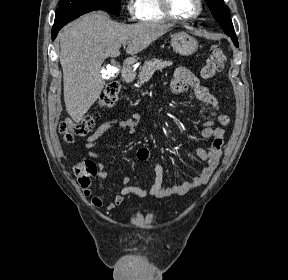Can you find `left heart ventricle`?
Returning a JSON list of instances; mask_svg holds the SVG:
<instances>
[{"instance_id":"left-heart-ventricle-1","label":"left heart ventricle","mask_w":288,"mask_h":280,"mask_svg":"<svg viewBox=\"0 0 288 280\" xmlns=\"http://www.w3.org/2000/svg\"><path fill=\"white\" fill-rule=\"evenodd\" d=\"M172 12L178 17H189L197 10V0H169Z\"/></svg>"}]
</instances>
